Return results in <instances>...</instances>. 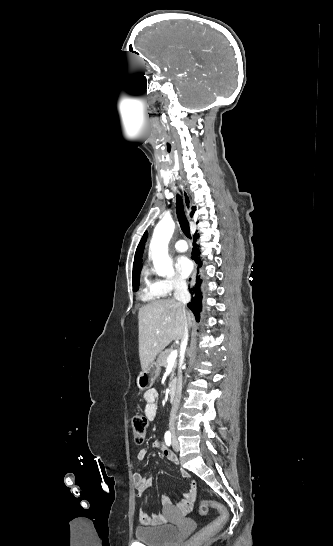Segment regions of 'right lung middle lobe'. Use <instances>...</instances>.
I'll use <instances>...</instances> for the list:
<instances>
[{
	"label": "right lung middle lobe",
	"instance_id": "obj_1",
	"mask_svg": "<svg viewBox=\"0 0 333 546\" xmlns=\"http://www.w3.org/2000/svg\"><path fill=\"white\" fill-rule=\"evenodd\" d=\"M133 277L135 279L133 283V291H137L139 287V273L137 272V266H133Z\"/></svg>",
	"mask_w": 333,
	"mask_h": 546
}]
</instances>
